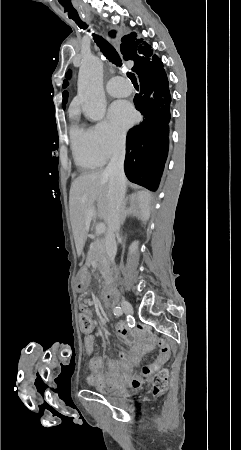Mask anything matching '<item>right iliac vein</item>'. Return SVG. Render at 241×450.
I'll list each match as a JSON object with an SVG mask.
<instances>
[{"mask_svg":"<svg viewBox=\"0 0 241 450\" xmlns=\"http://www.w3.org/2000/svg\"><path fill=\"white\" fill-rule=\"evenodd\" d=\"M121 305H122V308L125 311V313H127V314H132L133 313V308H132L131 304L128 301L122 300L121 301Z\"/></svg>","mask_w":241,"mask_h":450,"instance_id":"right-iliac-vein-1","label":"right iliac vein"}]
</instances>
